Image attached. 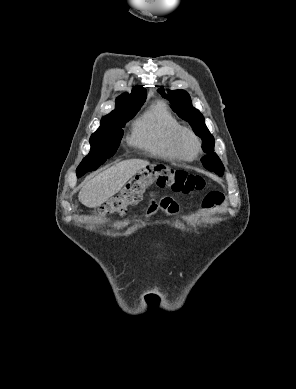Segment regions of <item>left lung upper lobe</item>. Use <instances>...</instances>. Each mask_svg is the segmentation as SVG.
<instances>
[{
    "label": "left lung upper lobe",
    "mask_w": 296,
    "mask_h": 389,
    "mask_svg": "<svg viewBox=\"0 0 296 389\" xmlns=\"http://www.w3.org/2000/svg\"><path fill=\"white\" fill-rule=\"evenodd\" d=\"M158 92L171 102L173 111L189 122L195 134L202 138L204 152L210 153L202 158L204 167L222 176L224 166L217 154L212 153L214 151V137L206 127L203 115L192 106L189 94L184 90L169 91L166 94L163 88L158 89Z\"/></svg>",
    "instance_id": "1"
}]
</instances>
